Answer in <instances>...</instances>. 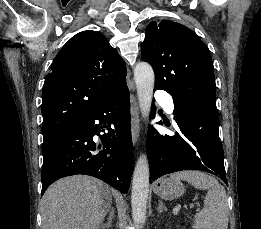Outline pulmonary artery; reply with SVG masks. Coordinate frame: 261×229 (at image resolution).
Listing matches in <instances>:
<instances>
[{"instance_id":"pulmonary-artery-1","label":"pulmonary artery","mask_w":261,"mask_h":229,"mask_svg":"<svg viewBox=\"0 0 261 229\" xmlns=\"http://www.w3.org/2000/svg\"><path fill=\"white\" fill-rule=\"evenodd\" d=\"M170 94V91H165V89H156L154 98L161 99L157 101V104L162 105L164 114L169 115V117L174 121V105L176 104V101L172 100L173 98Z\"/></svg>"}]
</instances>
